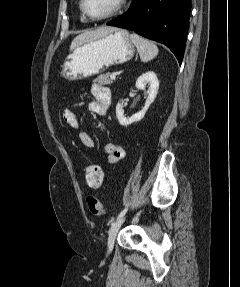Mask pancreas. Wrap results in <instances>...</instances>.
Masks as SVG:
<instances>
[{
	"label": "pancreas",
	"instance_id": "1",
	"mask_svg": "<svg viewBox=\"0 0 240 287\" xmlns=\"http://www.w3.org/2000/svg\"><path fill=\"white\" fill-rule=\"evenodd\" d=\"M110 75H111L110 73L101 75L97 78V81L103 85H110L113 83V79L110 78Z\"/></svg>",
	"mask_w": 240,
	"mask_h": 287
}]
</instances>
